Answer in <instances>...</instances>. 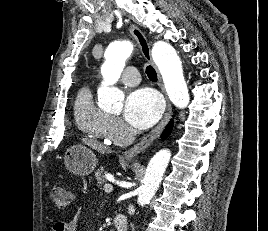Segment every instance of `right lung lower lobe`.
I'll return each mask as SVG.
<instances>
[{"label":"right lung lower lobe","mask_w":268,"mask_h":231,"mask_svg":"<svg viewBox=\"0 0 268 231\" xmlns=\"http://www.w3.org/2000/svg\"><path fill=\"white\" fill-rule=\"evenodd\" d=\"M171 130H172V123H169L163 133V138L168 137V135L171 133Z\"/></svg>","instance_id":"right-lung-lower-lobe-1"}]
</instances>
